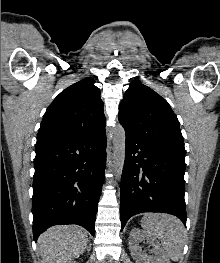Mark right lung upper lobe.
Listing matches in <instances>:
<instances>
[{"label":"right lung upper lobe","mask_w":220,"mask_h":263,"mask_svg":"<svg viewBox=\"0 0 220 263\" xmlns=\"http://www.w3.org/2000/svg\"><path fill=\"white\" fill-rule=\"evenodd\" d=\"M100 90L85 78L63 90L47 108L37 143L63 141L105 129Z\"/></svg>","instance_id":"1"}]
</instances>
